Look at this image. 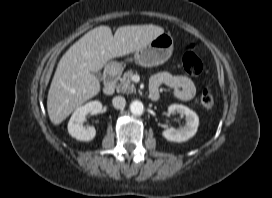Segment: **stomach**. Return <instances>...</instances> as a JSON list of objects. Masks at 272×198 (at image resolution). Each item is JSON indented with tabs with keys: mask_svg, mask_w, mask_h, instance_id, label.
<instances>
[{
	"mask_svg": "<svg viewBox=\"0 0 272 198\" xmlns=\"http://www.w3.org/2000/svg\"><path fill=\"white\" fill-rule=\"evenodd\" d=\"M173 51V38L170 34H161L152 40L146 47L135 52L133 58H128L127 62L135 61L143 67H153L165 63ZM112 64L120 65L117 62Z\"/></svg>",
	"mask_w": 272,
	"mask_h": 198,
	"instance_id": "0dacf381",
	"label": "stomach"
}]
</instances>
